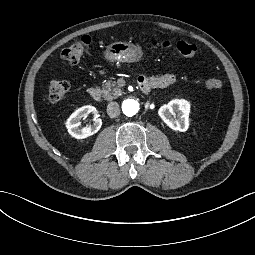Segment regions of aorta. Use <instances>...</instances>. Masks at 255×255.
<instances>
[{
    "instance_id": "aorta-1",
    "label": "aorta",
    "mask_w": 255,
    "mask_h": 255,
    "mask_svg": "<svg viewBox=\"0 0 255 255\" xmlns=\"http://www.w3.org/2000/svg\"><path fill=\"white\" fill-rule=\"evenodd\" d=\"M140 109V104L137 100L127 99L122 104L123 113L126 116L132 117L134 116Z\"/></svg>"
}]
</instances>
